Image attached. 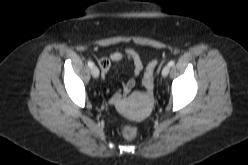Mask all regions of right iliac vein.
<instances>
[{"label":"right iliac vein","mask_w":248,"mask_h":165,"mask_svg":"<svg viewBox=\"0 0 248 165\" xmlns=\"http://www.w3.org/2000/svg\"><path fill=\"white\" fill-rule=\"evenodd\" d=\"M91 74L94 78H97L99 76V69L96 66H93L91 68Z\"/></svg>","instance_id":"63e3f726"}]
</instances>
